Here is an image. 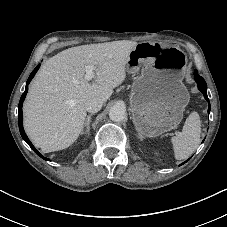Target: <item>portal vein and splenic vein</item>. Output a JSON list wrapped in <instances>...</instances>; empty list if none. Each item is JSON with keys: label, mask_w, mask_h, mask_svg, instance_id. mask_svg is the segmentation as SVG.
Here are the masks:
<instances>
[{"label": "portal vein and splenic vein", "mask_w": 227, "mask_h": 227, "mask_svg": "<svg viewBox=\"0 0 227 227\" xmlns=\"http://www.w3.org/2000/svg\"><path fill=\"white\" fill-rule=\"evenodd\" d=\"M94 70H95V66H93V65L85 66V72H86L85 79L86 80L90 81L95 77Z\"/></svg>", "instance_id": "obj_1"}]
</instances>
